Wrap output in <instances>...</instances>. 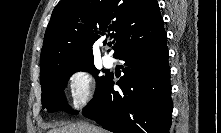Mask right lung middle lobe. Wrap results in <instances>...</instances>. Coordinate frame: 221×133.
<instances>
[{"mask_svg":"<svg viewBox=\"0 0 221 133\" xmlns=\"http://www.w3.org/2000/svg\"><path fill=\"white\" fill-rule=\"evenodd\" d=\"M77 71H87L94 76L96 79V92L108 77L100 76L99 70L94 66L93 62H67L49 66L40 74L43 108H47L50 112L60 110L71 114L78 113L70 109L64 95V88L68 79Z\"/></svg>","mask_w":221,"mask_h":133,"instance_id":"1","label":"right lung middle lobe"}]
</instances>
